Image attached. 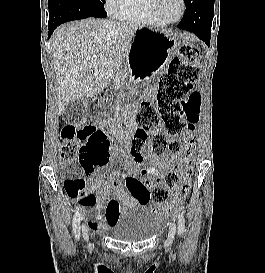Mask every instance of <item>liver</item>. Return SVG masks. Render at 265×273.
<instances>
[{"instance_id":"obj_1","label":"liver","mask_w":265,"mask_h":273,"mask_svg":"<svg viewBox=\"0 0 265 273\" xmlns=\"http://www.w3.org/2000/svg\"><path fill=\"white\" fill-rule=\"evenodd\" d=\"M139 23L85 19L59 27L52 37L58 111L107 87L126 56Z\"/></svg>"}]
</instances>
